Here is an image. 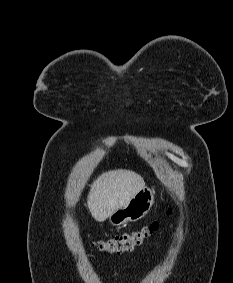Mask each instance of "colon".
<instances>
[{
	"mask_svg": "<svg viewBox=\"0 0 233 283\" xmlns=\"http://www.w3.org/2000/svg\"><path fill=\"white\" fill-rule=\"evenodd\" d=\"M158 229L157 222H151L129 232L95 242V247L108 254H121L140 246Z\"/></svg>",
	"mask_w": 233,
	"mask_h": 283,
	"instance_id": "1",
	"label": "colon"
}]
</instances>
